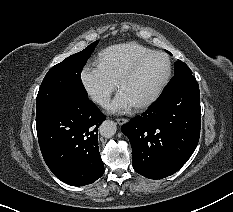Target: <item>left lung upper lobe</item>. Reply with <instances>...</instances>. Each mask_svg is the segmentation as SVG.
<instances>
[{"mask_svg":"<svg viewBox=\"0 0 233 212\" xmlns=\"http://www.w3.org/2000/svg\"><path fill=\"white\" fill-rule=\"evenodd\" d=\"M166 52L172 55L170 52ZM187 82H196V79L192 75L190 68L184 62L178 60L174 63V77L167 84L162 93H168L176 86Z\"/></svg>","mask_w":233,"mask_h":212,"instance_id":"left-lung-upper-lobe-1","label":"left lung upper lobe"}]
</instances>
